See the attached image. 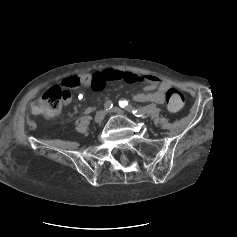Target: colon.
I'll return each mask as SVG.
<instances>
[{
  "label": "colon",
  "instance_id": "colon-1",
  "mask_svg": "<svg viewBox=\"0 0 237 237\" xmlns=\"http://www.w3.org/2000/svg\"><path fill=\"white\" fill-rule=\"evenodd\" d=\"M79 81L75 78L64 80L60 86H51L31 104V112L50 118L55 116L65 101L70 98V89L77 87ZM167 107L171 112H178L184 105L183 94L175 88H169L166 93Z\"/></svg>",
  "mask_w": 237,
  "mask_h": 237
}]
</instances>
